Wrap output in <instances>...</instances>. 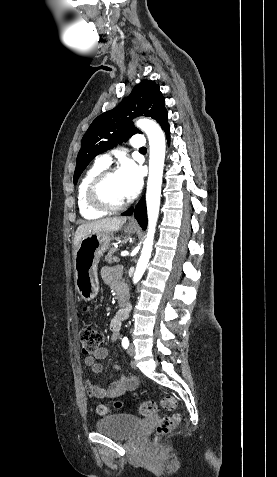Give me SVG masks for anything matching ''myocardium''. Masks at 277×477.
<instances>
[{"mask_svg":"<svg viewBox=\"0 0 277 477\" xmlns=\"http://www.w3.org/2000/svg\"><path fill=\"white\" fill-rule=\"evenodd\" d=\"M115 173L117 171L114 169H104L89 182L86 188V201L93 209L111 213L120 211L128 205V200L113 204L108 202L102 195V187L105 181Z\"/></svg>","mask_w":277,"mask_h":477,"instance_id":"1","label":"myocardium"}]
</instances>
